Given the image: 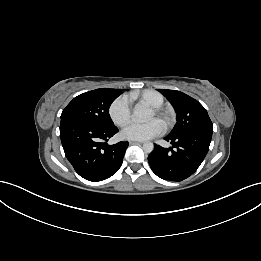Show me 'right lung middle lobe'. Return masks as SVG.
<instances>
[{
	"instance_id": "dd1d6c3e",
	"label": "right lung middle lobe",
	"mask_w": 261,
	"mask_h": 261,
	"mask_svg": "<svg viewBox=\"0 0 261 261\" xmlns=\"http://www.w3.org/2000/svg\"><path fill=\"white\" fill-rule=\"evenodd\" d=\"M122 92L120 89L101 88L82 93L66 106L61 114V120L110 128L114 124L109 115V107Z\"/></svg>"
}]
</instances>
